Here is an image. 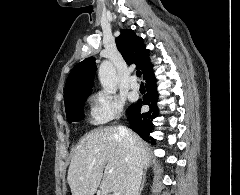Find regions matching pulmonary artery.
Here are the masks:
<instances>
[{"label":"pulmonary artery","instance_id":"pulmonary-artery-1","mask_svg":"<svg viewBox=\"0 0 240 195\" xmlns=\"http://www.w3.org/2000/svg\"><path fill=\"white\" fill-rule=\"evenodd\" d=\"M130 85H131V88H132L133 90H135V91L140 90V84L137 82V80H136L135 78H133V79L131 80Z\"/></svg>","mask_w":240,"mask_h":195}]
</instances>
